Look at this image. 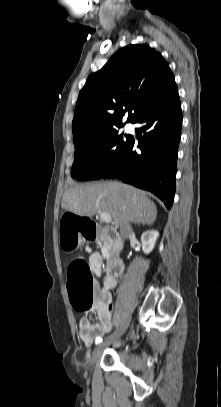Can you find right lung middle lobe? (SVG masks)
I'll list each match as a JSON object with an SVG mask.
<instances>
[{"mask_svg":"<svg viewBox=\"0 0 221 407\" xmlns=\"http://www.w3.org/2000/svg\"><path fill=\"white\" fill-rule=\"evenodd\" d=\"M131 138L113 128L75 143L71 176L82 181L102 178L119 162Z\"/></svg>","mask_w":221,"mask_h":407,"instance_id":"obj_1","label":"right lung middle lobe"}]
</instances>
